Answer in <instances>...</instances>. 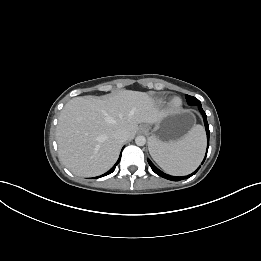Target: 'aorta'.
I'll use <instances>...</instances> for the list:
<instances>
[{"instance_id":"aorta-1","label":"aorta","mask_w":261,"mask_h":261,"mask_svg":"<svg viewBox=\"0 0 261 261\" xmlns=\"http://www.w3.org/2000/svg\"><path fill=\"white\" fill-rule=\"evenodd\" d=\"M135 143L138 146H144L146 143V138L144 136H137L135 139Z\"/></svg>"}]
</instances>
